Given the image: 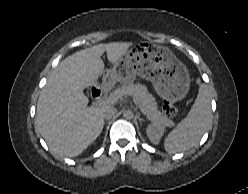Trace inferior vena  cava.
<instances>
[{
	"label": "inferior vena cava",
	"instance_id": "obj_1",
	"mask_svg": "<svg viewBox=\"0 0 248 194\" xmlns=\"http://www.w3.org/2000/svg\"><path fill=\"white\" fill-rule=\"evenodd\" d=\"M117 112V109L112 106H107L104 109L103 116L105 119H111Z\"/></svg>",
	"mask_w": 248,
	"mask_h": 194
}]
</instances>
